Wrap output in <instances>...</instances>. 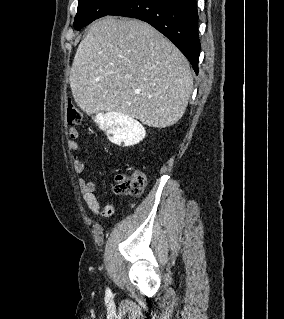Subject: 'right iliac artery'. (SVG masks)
<instances>
[{
    "mask_svg": "<svg viewBox=\"0 0 284 319\" xmlns=\"http://www.w3.org/2000/svg\"><path fill=\"white\" fill-rule=\"evenodd\" d=\"M106 293H107V294H110L109 288L106 289Z\"/></svg>",
    "mask_w": 284,
    "mask_h": 319,
    "instance_id": "right-iliac-artery-1",
    "label": "right iliac artery"
}]
</instances>
